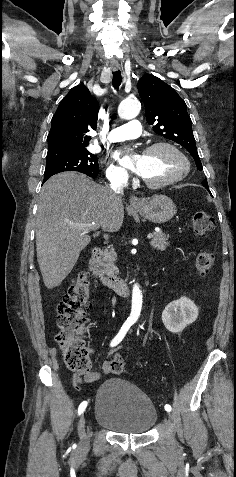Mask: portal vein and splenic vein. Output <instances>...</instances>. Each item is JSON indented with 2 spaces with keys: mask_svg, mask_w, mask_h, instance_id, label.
Here are the masks:
<instances>
[{
  "mask_svg": "<svg viewBox=\"0 0 236 477\" xmlns=\"http://www.w3.org/2000/svg\"><path fill=\"white\" fill-rule=\"evenodd\" d=\"M79 227H83V228H94L95 227V224L92 223V224H78ZM148 239H151L153 238V234L152 233H149L148 236H147Z\"/></svg>",
  "mask_w": 236,
  "mask_h": 477,
  "instance_id": "portal-vein-and-splenic-vein-1",
  "label": "portal vein and splenic vein"
}]
</instances>
